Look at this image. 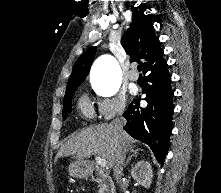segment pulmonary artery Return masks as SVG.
I'll return each instance as SVG.
<instances>
[{
	"label": "pulmonary artery",
	"instance_id": "e3ab8cb5",
	"mask_svg": "<svg viewBox=\"0 0 221 193\" xmlns=\"http://www.w3.org/2000/svg\"><path fill=\"white\" fill-rule=\"evenodd\" d=\"M128 78L130 81L132 82H136L138 80V73L135 70H132L129 74H128Z\"/></svg>",
	"mask_w": 221,
	"mask_h": 193
}]
</instances>
